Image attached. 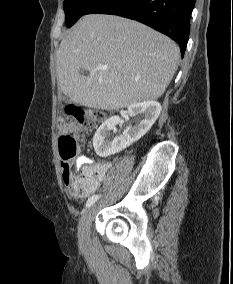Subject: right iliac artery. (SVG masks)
Wrapping results in <instances>:
<instances>
[{
    "instance_id": "obj_1",
    "label": "right iliac artery",
    "mask_w": 233,
    "mask_h": 284,
    "mask_svg": "<svg viewBox=\"0 0 233 284\" xmlns=\"http://www.w3.org/2000/svg\"><path fill=\"white\" fill-rule=\"evenodd\" d=\"M99 198L100 195L98 194L92 195L90 198H88L86 202V207H90L91 205H93Z\"/></svg>"
}]
</instances>
